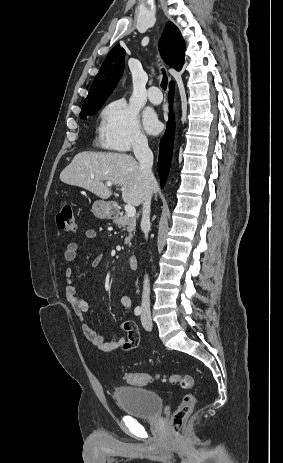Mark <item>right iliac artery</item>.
Masks as SVG:
<instances>
[{
	"label": "right iliac artery",
	"mask_w": 283,
	"mask_h": 463,
	"mask_svg": "<svg viewBox=\"0 0 283 463\" xmlns=\"http://www.w3.org/2000/svg\"><path fill=\"white\" fill-rule=\"evenodd\" d=\"M141 312H142V309H141L140 306H137V307L135 308V310H134V313H135L136 316L140 315Z\"/></svg>",
	"instance_id": "1"
}]
</instances>
